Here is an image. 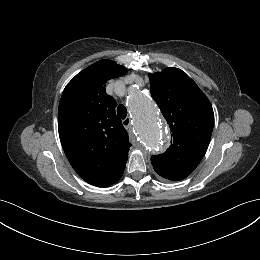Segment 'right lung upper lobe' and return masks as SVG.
Returning <instances> with one entry per match:
<instances>
[{"mask_svg":"<svg viewBox=\"0 0 260 260\" xmlns=\"http://www.w3.org/2000/svg\"><path fill=\"white\" fill-rule=\"evenodd\" d=\"M126 72L113 61L100 60L67 84L59 103L64 152L76 173L97 187L117 182L128 159V133L116 116V101L105 91L107 81Z\"/></svg>","mask_w":260,"mask_h":260,"instance_id":"1","label":"right lung upper lobe"}]
</instances>
